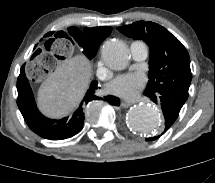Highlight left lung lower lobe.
Here are the masks:
<instances>
[{
    "mask_svg": "<svg viewBox=\"0 0 215 183\" xmlns=\"http://www.w3.org/2000/svg\"><path fill=\"white\" fill-rule=\"evenodd\" d=\"M144 95L150 97L153 102H158L161 105L165 117V129L163 132L165 133L177 119L179 112L186 100L177 93L167 90L161 91L157 94L144 93ZM158 137L159 136L147 138L146 140L151 141L157 139Z\"/></svg>",
    "mask_w": 215,
    "mask_h": 183,
    "instance_id": "0a47b994",
    "label": "left lung lower lobe"
}]
</instances>
